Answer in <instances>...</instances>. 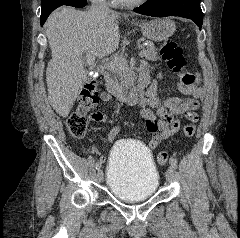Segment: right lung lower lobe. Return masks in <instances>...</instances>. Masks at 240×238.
Wrapping results in <instances>:
<instances>
[{"mask_svg": "<svg viewBox=\"0 0 240 238\" xmlns=\"http://www.w3.org/2000/svg\"><path fill=\"white\" fill-rule=\"evenodd\" d=\"M86 5V0H71L69 6H74V7H84ZM47 17L44 19H41V25L44 24L46 21Z\"/></svg>", "mask_w": 240, "mask_h": 238, "instance_id": "right-lung-lower-lobe-1", "label": "right lung lower lobe"}]
</instances>
